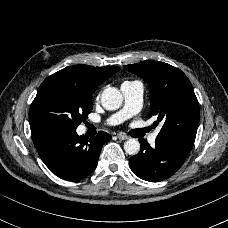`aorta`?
<instances>
[{"mask_svg": "<svg viewBox=\"0 0 228 228\" xmlns=\"http://www.w3.org/2000/svg\"><path fill=\"white\" fill-rule=\"evenodd\" d=\"M122 102V94L117 88L108 87L102 92L101 103L106 110H117ZM124 150L129 155H135L140 150V143L137 139L131 138L124 143Z\"/></svg>", "mask_w": 228, "mask_h": 228, "instance_id": "obj_1", "label": "aorta"}]
</instances>
